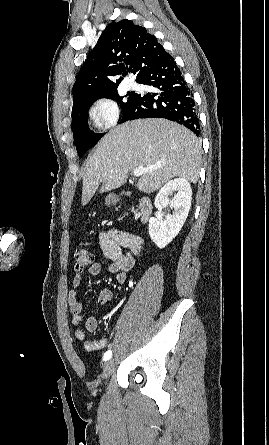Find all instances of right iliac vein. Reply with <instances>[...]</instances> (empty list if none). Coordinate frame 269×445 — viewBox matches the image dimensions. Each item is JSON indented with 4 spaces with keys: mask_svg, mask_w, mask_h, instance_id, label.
<instances>
[{
    "mask_svg": "<svg viewBox=\"0 0 269 445\" xmlns=\"http://www.w3.org/2000/svg\"><path fill=\"white\" fill-rule=\"evenodd\" d=\"M115 362L113 359L108 360L104 365L103 376L108 378L114 371Z\"/></svg>",
    "mask_w": 269,
    "mask_h": 445,
    "instance_id": "right-iliac-vein-1",
    "label": "right iliac vein"
}]
</instances>
